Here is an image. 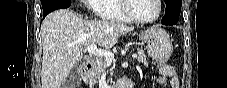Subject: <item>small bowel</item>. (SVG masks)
<instances>
[{
    "mask_svg": "<svg viewBox=\"0 0 227 88\" xmlns=\"http://www.w3.org/2000/svg\"><path fill=\"white\" fill-rule=\"evenodd\" d=\"M161 77L157 78L154 82V87H158L161 83L165 81L166 78H171V87L178 88L179 81L176 77H174V71L167 65H163L160 67Z\"/></svg>",
    "mask_w": 227,
    "mask_h": 88,
    "instance_id": "1",
    "label": "small bowel"
}]
</instances>
